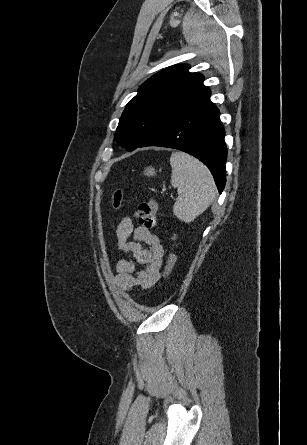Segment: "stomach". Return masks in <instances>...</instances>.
Returning <instances> with one entry per match:
<instances>
[{
    "mask_svg": "<svg viewBox=\"0 0 307 445\" xmlns=\"http://www.w3.org/2000/svg\"><path fill=\"white\" fill-rule=\"evenodd\" d=\"M144 174H147V176H155L156 170L153 166H147L144 170Z\"/></svg>",
    "mask_w": 307,
    "mask_h": 445,
    "instance_id": "obj_1",
    "label": "stomach"
}]
</instances>
